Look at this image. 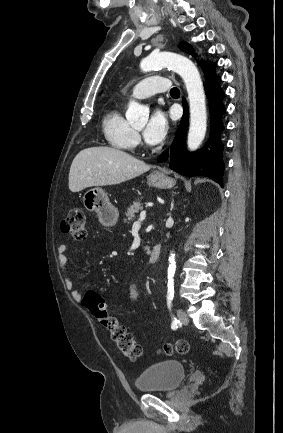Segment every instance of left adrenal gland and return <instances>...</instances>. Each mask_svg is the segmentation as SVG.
<instances>
[{"instance_id":"left-adrenal-gland-1","label":"left adrenal gland","mask_w":283,"mask_h":433,"mask_svg":"<svg viewBox=\"0 0 283 433\" xmlns=\"http://www.w3.org/2000/svg\"><path fill=\"white\" fill-rule=\"evenodd\" d=\"M172 208H174V198H172V202H171V210Z\"/></svg>"}]
</instances>
